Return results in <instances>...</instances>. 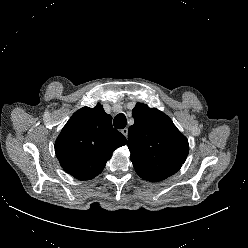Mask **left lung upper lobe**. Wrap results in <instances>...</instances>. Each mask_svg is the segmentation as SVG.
Listing matches in <instances>:
<instances>
[{
	"label": "left lung upper lobe",
	"instance_id": "left-lung-upper-lobe-1",
	"mask_svg": "<svg viewBox=\"0 0 248 248\" xmlns=\"http://www.w3.org/2000/svg\"><path fill=\"white\" fill-rule=\"evenodd\" d=\"M132 115L135 123L128 130V147L137 174L158 182L176 173L188 155L187 138L156 108L137 103Z\"/></svg>",
	"mask_w": 248,
	"mask_h": 248
}]
</instances>
